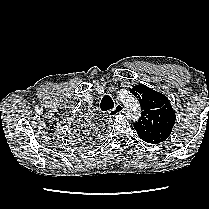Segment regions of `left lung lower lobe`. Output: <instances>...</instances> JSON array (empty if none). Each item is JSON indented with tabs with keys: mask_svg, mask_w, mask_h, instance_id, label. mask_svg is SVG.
<instances>
[{
	"mask_svg": "<svg viewBox=\"0 0 209 209\" xmlns=\"http://www.w3.org/2000/svg\"><path fill=\"white\" fill-rule=\"evenodd\" d=\"M146 142L152 143V144H159L160 143V141H146Z\"/></svg>",
	"mask_w": 209,
	"mask_h": 209,
	"instance_id": "1",
	"label": "left lung lower lobe"
}]
</instances>
